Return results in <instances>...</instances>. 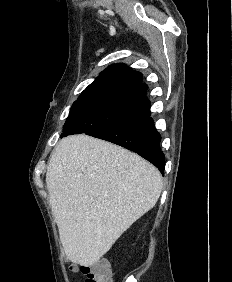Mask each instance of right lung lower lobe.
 <instances>
[{"label":"right lung lower lobe","instance_id":"obj_1","mask_svg":"<svg viewBox=\"0 0 232 282\" xmlns=\"http://www.w3.org/2000/svg\"><path fill=\"white\" fill-rule=\"evenodd\" d=\"M90 136L125 147L152 164L164 175V154L160 148L161 136L149 116L112 129H102Z\"/></svg>","mask_w":232,"mask_h":282}]
</instances>
